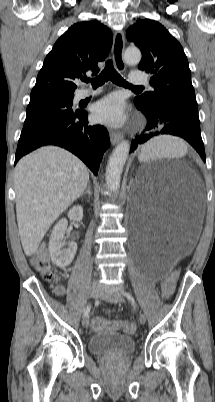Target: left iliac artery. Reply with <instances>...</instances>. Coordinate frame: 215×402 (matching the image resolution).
<instances>
[{
    "instance_id": "44dca946",
    "label": "left iliac artery",
    "mask_w": 215,
    "mask_h": 402,
    "mask_svg": "<svg viewBox=\"0 0 215 402\" xmlns=\"http://www.w3.org/2000/svg\"><path fill=\"white\" fill-rule=\"evenodd\" d=\"M122 294L124 295V296H126L128 299H132V296L130 295V293H128V292H126V291H122Z\"/></svg>"
}]
</instances>
